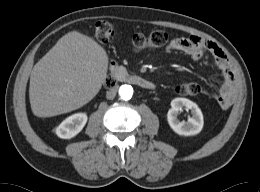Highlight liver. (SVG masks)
I'll return each instance as SVG.
<instances>
[{
  "label": "liver",
  "mask_w": 260,
  "mask_h": 192,
  "mask_svg": "<svg viewBox=\"0 0 260 192\" xmlns=\"http://www.w3.org/2000/svg\"><path fill=\"white\" fill-rule=\"evenodd\" d=\"M108 55L94 39L78 31L61 37L33 67L29 100L38 117L76 110L91 101L104 83Z\"/></svg>",
  "instance_id": "liver-1"
}]
</instances>
